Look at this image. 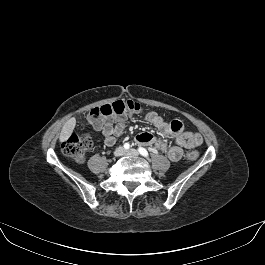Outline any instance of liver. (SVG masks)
<instances>
[{"label": "liver", "instance_id": "1", "mask_svg": "<svg viewBox=\"0 0 265 265\" xmlns=\"http://www.w3.org/2000/svg\"><path fill=\"white\" fill-rule=\"evenodd\" d=\"M75 126H76V119L75 117H72L62 127V130L59 136L60 142L66 141L71 136Z\"/></svg>", "mask_w": 265, "mask_h": 265}]
</instances>
